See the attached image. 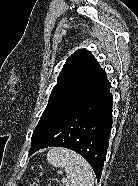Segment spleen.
<instances>
[{"label":"spleen","mask_w":138,"mask_h":186,"mask_svg":"<svg viewBox=\"0 0 138 186\" xmlns=\"http://www.w3.org/2000/svg\"><path fill=\"white\" fill-rule=\"evenodd\" d=\"M47 161L54 167H61L66 172L62 182L66 186H93L94 177L90 165L77 153L54 147L47 154Z\"/></svg>","instance_id":"obj_1"}]
</instances>
